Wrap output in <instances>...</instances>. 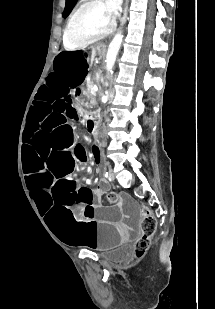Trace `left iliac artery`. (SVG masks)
Listing matches in <instances>:
<instances>
[{
    "mask_svg": "<svg viewBox=\"0 0 215 309\" xmlns=\"http://www.w3.org/2000/svg\"><path fill=\"white\" fill-rule=\"evenodd\" d=\"M105 177H107V178L109 177V174H108V172H106V173H105Z\"/></svg>",
    "mask_w": 215,
    "mask_h": 309,
    "instance_id": "obj_1",
    "label": "left iliac artery"
}]
</instances>
